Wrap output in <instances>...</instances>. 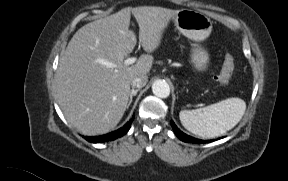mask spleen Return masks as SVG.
<instances>
[{"mask_svg": "<svg viewBox=\"0 0 288 181\" xmlns=\"http://www.w3.org/2000/svg\"><path fill=\"white\" fill-rule=\"evenodd\" d=\"M246 103L240 98H228L195 110H182L179 118L189 132L210 139L234 128L242 119Z\"/></svg>", "mask_w": 288, "mask_h": 181, "instance_id": "3e777b00", "label": "spleen"}]
</instances>
